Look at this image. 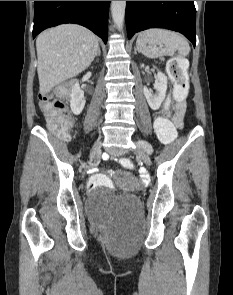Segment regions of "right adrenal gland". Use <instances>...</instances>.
Segmentation results:
<instances>
[{"mask_svg": "<svg viewBox=\"0 0 233 295\" xmlns=\"http://www.w3.org/2000/svg\"><path fill=\"white\" fill-rule=\"evenodd\" d=\"M100 54H101V50H100V48H99V49H98L97 56H100Z\"/></svg>", "mask_w": 233, "mask_h": 295, "instance_id": "right-adrenal-gland-1", "label": "right adrenal gland"}]
</instances>
